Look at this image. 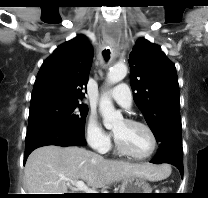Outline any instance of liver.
I'll return each mask as SVG.
<instances>
[{"instance_id":"6515ba94","label":"liver","mask_w":208,"mask_h":198,"mask_svg":"<svg viewBox=\"0 0 208 198\" xmlns=\"http://www.w3.org/2000/svg\"><path fill=\"white\" fill-rule=\"evenodd\" d=\"M170 170L150 163L133 164L107 160L77 146L48 145L34 150L25 165L24 184L28 194L68 193L65 179L86 181L93 188L141 177L150 181L164 179Z\"/></svg>"}]
</instances>
